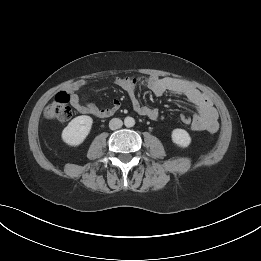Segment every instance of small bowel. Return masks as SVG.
I'll return each mask as SVG.
<instances>
[{
    "label": "small bowel",
    "instance_id": "obj_1",
    "mask_svg": "<svg viewBox=\"0 0 261 261\" xmlns=\"http://www.w3.org/2000/svg\"><path fill=\"white\" fill-rule=\"evenodd\" d=\"M115 84L122 88L129 96L133 110L141 116L157 120L159 112L156 108L142 105L136 96V89L142 85L152 91L156 96L170 93L185 97L194 105L197 114L192 117L191 127L195 131L216 132L218 130V113L211 100L194 86L185 81L172 77H158L150 75L145 78L135 79L120 77L115 79ZM85 86V81H78L68 87L70 104L81 114H90L99 118L113 115L119 108V100H114L109 108H98L93 103H82L77 94Z\"/></svg>",
    "mask_w": 261,
    "mask_h": 261
}]
</instances>
